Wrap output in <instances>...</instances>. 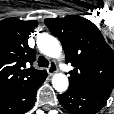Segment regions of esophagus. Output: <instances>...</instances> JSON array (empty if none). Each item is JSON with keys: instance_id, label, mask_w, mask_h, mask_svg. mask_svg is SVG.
<instances>
[{"instance_id": "obj_1", "label": "esophagus", "mask_w": 114, "mask_h": 114, "mask_svg": "<svg viewBox=\"0 0 114 114\" xmlns=\"http://www.w3.org/2000/svg\"><path fill=\"white\" fill-rule=\"evenodd\" d=\"M57 72V65L55 63H51L48 68V73L50 76L54 75Z\"/></svg>"}]
</instances>
